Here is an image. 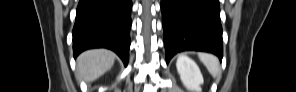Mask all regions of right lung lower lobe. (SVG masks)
Instances as JSON below:
<instances>
[{
  "label": "right lung lower lobe",
  "mask_w": 296,
  "mask_h": 92,
  "mask_svg": "<svg viewBox=\"0 0 296 92\" xmlns=\"http://www.w3.org/2000/svg\"><path fill=\"white\" fill-rule=\"evenodd\" d=\"M131 0H80L73 28L74 56L90 48H108L128 63Z\"/></svg>",
  "instance_id": "right-lung-lower-lobe-1"
}]
</instances>
